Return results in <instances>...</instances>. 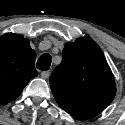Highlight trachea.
I'll list each match as a JSON object with an SVG mask.
<instances>
[{
  "mask_svg": "<svg viewBox=\"0 0 125 125\" xmlns=\"http://www.w3.org/2000/svg\"><path fill=\"white\" fill-rule=\"evenodd\" d=\"M51 62H52V57L49 54H43L38 59L36 67L42 71L49 70Z\"/></svg>",
  "mask_w": 125,
  "mask_h": 125,
  "instance_id": "1",
  "label": "trachea"
}]
</instances>
